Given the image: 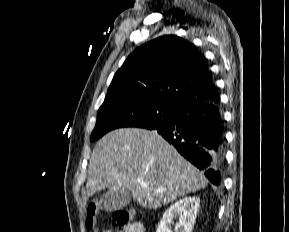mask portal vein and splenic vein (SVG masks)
<instances>
[{
    "label": "portal vein and splenic vein",
    "mask_w": 289,
    "mask_h": 232,
    "mask_svg": "<svg viewBox=\"0 0 289 232\" xmlns=\"http://www.w3.org/2000/svg\"><path fill=\"white\" fill-rule=\"evenodd\" d=\"M142 187H147V185L145 183H141ZM157 192H160V190H157Z\"/></svg>",
    "instance_id": "1"
}]
</instances>
